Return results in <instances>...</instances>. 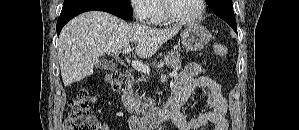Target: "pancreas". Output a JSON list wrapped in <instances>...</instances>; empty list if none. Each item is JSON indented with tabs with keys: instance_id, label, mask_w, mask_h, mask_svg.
<instances>
[{
	"instance_id": "pancreas-1",
	"label": "pancreas",
	"mask_w": 299,
	"mask_h": 130,
	"mask_svg": "<svg viewBox=\"0 0 299 130\" xmlns=\"http://www.w3.org/2000/svg\"><path fill=\"white\" fill-rule=\"evenodd\" d=\"M165 63L167 66H170L174 68L175 70H178L181 68V60H180V53L178 51H170L165 56ZM129 106L130 109L135 112L136 114L145 113V110L147 109L148 100L144 96H139L138 90H136L135 94L131 91L129 93ZM144 100V102L142 101Z\"/></svg>"
}]
</instances>
